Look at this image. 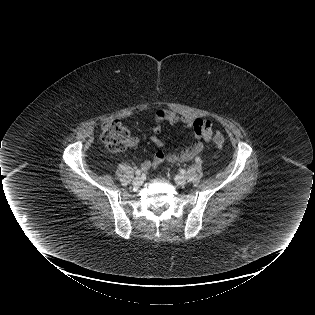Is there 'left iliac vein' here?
<instances>
[{
	"instance_id": "4c4485c4",
	"label": "left iliac vein",
	"mask_w": 315,
	"mask_h": 315,
	"mask_svg": "<svg viewBox=\"0 0 315 315\" xmlns=\"http://www.w3.org/2000/svg\"><path fill=\"white\" fill-rule=\"evenodd\" d=\"M174 180L178 185H184L186 183V177L181 174L176 175Z\"/></svg>"
}]
</instances>
